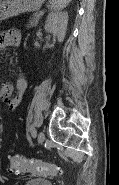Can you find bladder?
<instances>
[{"label": "bladder", "instance_id": "31cf9c89", "mask_svg": "<svg viewBox=\"0 0 119 185\" xmlns=\"http://www.w3.org/2000/svg\"><path fill=\"white\" fill-rule=\"evenodd\" d=\"M25 185H53L51 181L47 179H31L25 183Z\"/></svg>", "mask_w": 119, "mask_h": 185}]
</instances>
